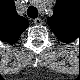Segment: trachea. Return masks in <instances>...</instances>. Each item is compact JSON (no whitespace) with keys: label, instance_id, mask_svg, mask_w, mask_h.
I'll return each instance as SVG.
<instances>
[{"label":"trachea","instance_id":"trachea-1","mask_svg":"<svg viewBox=\"0 0 80 80\" xmlns=\"http://www.w3.org/2000/svg\"><path fill=\"white\" fill-rule=\"evenodd\" d=\"M27 14L30 18H37L38 16V10L34 7V6H30L28 9H27Z\"/></svg>","mask_w":80,"mask_h":80}]
</instances>
